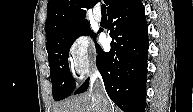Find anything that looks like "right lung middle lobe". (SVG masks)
<instances>
[{
    "label": "right lung middle lobe",
    "mask_w": 193,
    "mask_h": 112,
    "mask_svg": "<svg viewBox=\"0 0 193 112\" xmlns=\"http://www.w3.org/2000/svg\"><path fill=\"white\" fill-rule=\"evenodd\" d=\"M88 34L91 35L88 24L72 27L56 35L46 45L49 57L53 98L56 101L68 97L75 90L76 83L70 73L68 65L69 49L79 36ZM93 37L95 38L94 34ZM97 47L98 44H96V48Z\"/></svg>",
    "instance_id": "right-lung-middle-lobe-1"
}]
</instances>
